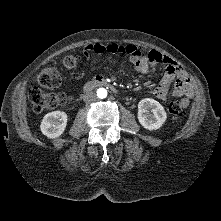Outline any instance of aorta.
I'll list each match as a JSON object with an SVG mask.
<instances>
[{
  "instance_id": "1",
  "label": "aorta",
  "mask_w": 221,
  "mask_h": 221,
  "mask_svg": "<svg viewBox=\"0 0 221 221\" xmlns=\"http://www.w3.org/2000/svg\"><path fill=\"white\" fill-rule=\"evenodd\" d=\"M97 96L100 99H104L107 97V90L105 88H99L97 90Z\"/></svg>"
}]
</instances>
